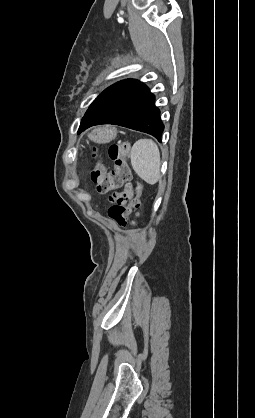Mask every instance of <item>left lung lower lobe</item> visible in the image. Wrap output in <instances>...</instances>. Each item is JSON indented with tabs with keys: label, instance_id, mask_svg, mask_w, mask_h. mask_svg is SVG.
<instances>
[{
	"label": "left lung lower lobe",
	"instance_id": "0a47b994",
	"mask_svg": "<svg viewBox=\"0 0 255 418\" xmlns=\"http://www.w3.org/2000/svg\"><path fill=\"white\" fill-rule=\"evenodd\" d=\"M99 124H115L153 135L158 141L164 130L155 97L138 80L119 81L104 90L85 113L78 133Z\"/></svg>",
	"mask_w": 255,
	"mask_h": 418
}]
</instances>
